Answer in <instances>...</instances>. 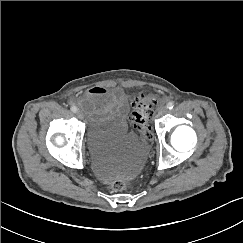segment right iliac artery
Here are the masks:
<instances>
[{
	"mask_svg": "<svg viewBox=\"0 0 243 243\" xmlns=\"http://www.w3.org/2000/svg\"><path fill=\"white\" fill-rule=\"evenodd\" d=\"M71 110H72L74 113H76L78 109H77V107L72 106V107H71Z\"/></svg>",
	"mask_w": 243,
	"mask_h": 243,
	"instance_id": "82829eb1",
	"label": "right iliac artery"
}]
</instances>
